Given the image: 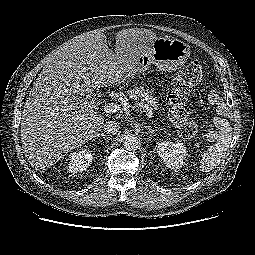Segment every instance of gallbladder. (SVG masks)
<instances>
[{"mask_svg":"<svg viewBox=\"0 0 255 255\" xmlns=\"http://www.w3.org/2000/svg\"><path fill=\"white\" fill-rule=\"evenodd\" d=\"M82 89H83L84 95L87 96V98H88L89 100L92 101V100L95 99V95H94V93H93V91H92V89H91L90 87H88V86H82Z\"/></svg>","mask_w":255,"mask_h":255,"instance_id":"obj_1","label":"gallbladder"}]
</instances>
